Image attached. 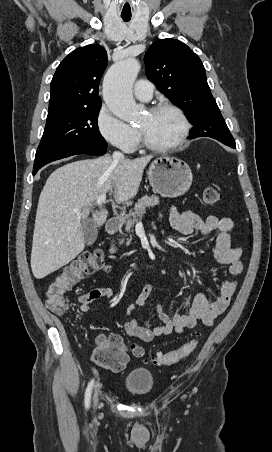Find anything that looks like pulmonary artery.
<instances>
[{"mask_svg": "<svg viewBox=\"0 0 272 452\" xmlns=\"http://www.w3.org/2000/svg\"><path fill=\"white\" fill-rule=\"evenodd\" d=\"M153 90L151 82L141 79L134 86V95L138 100L147 102L152 98Z\"/></svg>", "mask_w": 272, "mask_h": 452, "instance_id": "1", "label": "pulmonary artery"}]
</instances>
